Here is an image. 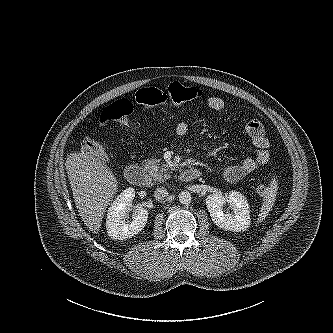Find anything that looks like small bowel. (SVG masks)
<instances>
[{
  "mask_svg": "<svg viewBox=\"0 0 333 333\" xmlns=\"http://www.w3.org/2000/svg\"><path fill=\"white\" fill-rule=\"evenodd\" d=\"M206 104L214 111H223L227 106L225 100L218 96L208 97ZM188 129V123L181 121L177 124L175 132L178 136H184L187 134ZM245 132L255 147L256 154L253 157H247L239 163L230 164L224 168L223 176L229 182L241 180L246 175L265 165L269 160L270 143L263 124L256 119H250L245 124Z\"/></svg>",
  "mask_w": 333,
  "mask_h": 333,
  "instance_id": "1",
  "label": "small bowel"
}]
</instances>
